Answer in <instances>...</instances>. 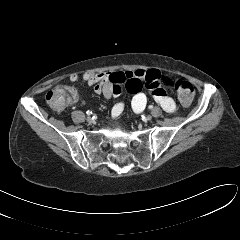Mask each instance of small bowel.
<instances>
[{"instance_id": "small-bowel-1", "label": "small bowel", "mask_w": 240, "mask_h": 240, "mask_svg": "<svg viewBox=\"0 0 240 240\" xmlns=\"http://www.w3.org/2000/svg\"><path fill=\"white\" fill-rule=\"evenodd\" d=\"M80 79V75L73 73L69 76L71 82ZM82 79L94 86V92L106 99L117 97L121 93V85L133 95L131 107L135 113H141L147 104V96L142 92L145 87L151 92L153 99L168 113L176 110L174 100L168 95L167 88L171 87V77L162 75L157 69L117 71V72H85ZM71 90V103H78L80 96L73 87ZM124 110V102L119 101L112 107V117L118 118Z\"/></svg>"}]
</instances>
